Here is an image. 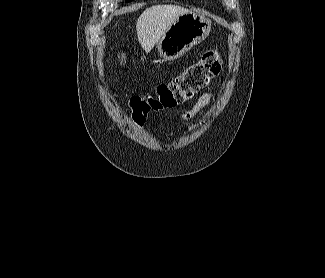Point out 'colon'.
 <instances>
[{
  "label": "colon",
  "instance_id": "1",
  "mask_svg": "<svg viewBox=\"0 0 325 278\" xmlns=\"http://www.w3.org/2000/svg\"><path fill=\"white\" fill-rule=\"evenodd\" d=\"M222 63L220 54L209 50L171 81L158 85L145 96L133 97L130 108L134 122L142 125L152 112L170 109L191 99L219 74Z\"/></svg>",
  "mask_w": 325,
  "mask_h": 278
}]
</instances>
